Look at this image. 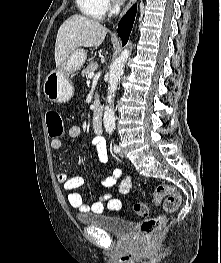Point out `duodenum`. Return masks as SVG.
I'll return each mask as SVG.
<instances>
[{
    "instance_id": "410a0bca",
    "label": "duodenum",
    "mask_w": 221,
    "mask_h": 263,
    "mask_svg": "<svg viewBox=\"0 0 221 263\" xmlns=\"http://www.w3.org/2000/svg\"><path fill=\"white\" fill-rule=\"evenodd\" d=\"M92 126L97 133H101L103 131L102 113L100 108L93 117Z\"/></svg>"
}]
</instances>
